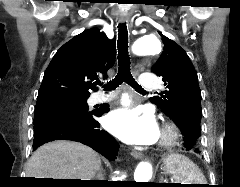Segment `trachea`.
Listing matches in <instances>:
<instances>
[{"instance_id": "1", "label": "trachea", "mask_w": 240, "mask_h": 187, "mask_svg": "<svg viewBox=\"0 0 240 187\" xmlns=\"http://www.w3.org/2000/svg\"><path fill=\"white\" fill-rule=\"evenodd\" d=\"M118 73L112 81L107 83L104 90H115L120 84L126 82L136 91L144 93L145 90L134 80L130 72V57L128 54V31L126 23L118 25Z\"/></svg>"}]
</instances>
